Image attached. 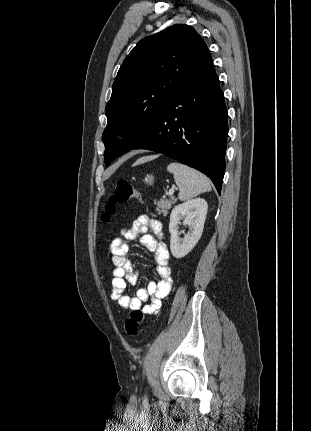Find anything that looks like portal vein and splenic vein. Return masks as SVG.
I'll return each instance as SVG.
<instances>
[{
	"instance_id": "obj_1",
	"label": "portal vein and splenic vein",
	"mask_w": 311,
	"mask_h": 431,
	"mask_svg": "<svg viewBox=\"0 0 311 431\" xmlns=\"http://www.w3.org/2000/svg\"><path fill=\"white\" fill-rule=\"evenodd\" d=\"M174 192H175V188H170L168 192V196H173Z\"/></svg>"
}]
</instances>
